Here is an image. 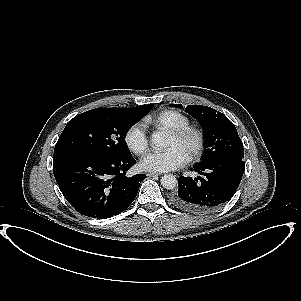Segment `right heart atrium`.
Masks as SVG:
<instances>
[{"instance_id":"right-heart-atrium-1","label":"right heart atrium","mask_w":301,"mask_h":301,"mask_svg":"<svg viewBox=\"0 0 301 301\" xmlns=\"http://www.w3.org/2000/svg\"><path fill=\"white\" fill-rule=\"evenodd\" d=\"M128 147L136 154H143L149 147V141L144 130L139 126H133L127 133Z\"/></svg>"}]
</instances>
